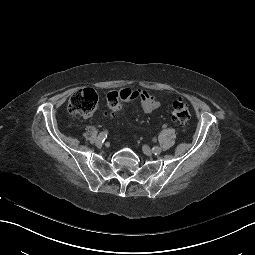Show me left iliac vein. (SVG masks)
I'll use <instances>...</instances> for the list:
<instances>
[{"mask_svg":"<svg viewBox=\"0 0 255 255\" xmlns=\"http://www.w3.org/2000/svg\"><path fill=\"white\" fill-rule=\"evenodd\" d=\"M161 150V149H160ZM143 152L147 155V156H151L152 155V151H151V149L148 147V146H146V145H144L143 146Z\"/></svg>","mask_w":255,"mask_h":255,"instance_id":"4c4485c4","label":"left iliac vein"}]
</instances>
